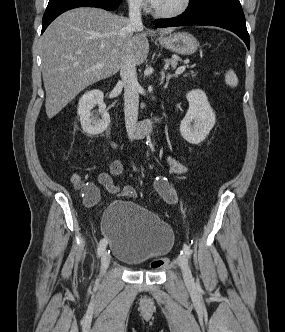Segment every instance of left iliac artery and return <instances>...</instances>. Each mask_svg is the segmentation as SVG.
Returning a JSON list of instances; mask_svg holds the SVG:
<instances>
[{
  "instance_id": "left-iliac-artery-1",
  "label": "left iliac artery",
  "mask_w": 285,
  "mask_h": 332,
  "mask_svg": "<svg viewBox=\"0 0 285 332\" xmlns=\"http://www.w3.org/2000/svg\"><path fill=\"white\" fill-rule=\"evenodd\" d=\"M181 253H184L185 255H187L188 257H190L191 254H192V250H191V248L187 244H184L183 245V252H181Z\"/></svg>"
}]
</instances>
